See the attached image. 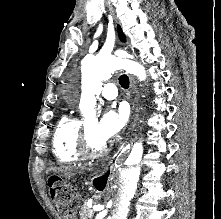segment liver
<instances>
[{
  "instance_id": "1",
  "label": "liver",
  "mask_w": 221,
  "mask_h": 219,
  "mask_svg": "<svg viewBox=\"0 0 221 219\" xmlns=\"http://www.w3.org/2000/svg\"><path fill=\"white\" fill-rule=\"evenodd\" d=\"M49 170H51V171H63L62 168H50Z\"/></svg>"
}]
</instances>
